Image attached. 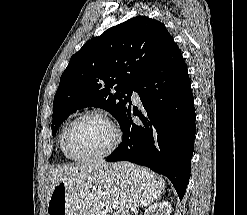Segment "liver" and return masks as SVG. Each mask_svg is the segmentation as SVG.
<instances>
[{
  "mask_svg": "<svg viewBox=\"0 0 247 215\" xmlns=\"http://www.w3.org/2000/svg\"><path fill=\"white\" fill-rule=\"evenodd\" d=\"M110 164L106 162L81 163L75 165H64L52 168L48 175V193L47 201L49 200L53 188L61 181H66L70 185L80 186L90 177L96 174Z\"/></svg>",
  "mask_w": 247,
  "mask_h": 215,
  "instance_id": "liver-1",
  "label": "liver"
}]
</instances>
